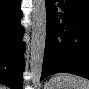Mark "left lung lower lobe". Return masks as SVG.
I'll return each mask as SVG.
<instances>
[{"mask_svg": "<svg viewBox=\"0 0 89 89\" xmlns=\"http://www.w3.org/2000/svg\"><path fill=\"white\" fill-rule=\"evenodd\" d=\"M41 80L56 73L89 79V0H46Z\"/></svg>", "mask_w": 89, "mask_h": 89, "instance_id": "obj_1", "label": "left lung lower lobe"}]
</instances>
